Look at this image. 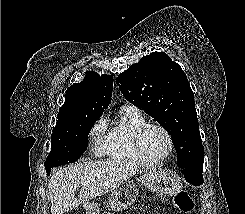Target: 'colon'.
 Listing matches in <instances>:
<instances>
[{
    "label": "colon",
    "instance_id": "colon-1",
    "mask_svg": "<svg viewBox=\"0 0 245 214\" xmlns=\"http://www.w3.org/2000/svg\"><path fill=\"white\" fill-rule=\"evenodd\" d=\"M174 206L179 212L188 214L193 210L194 202L190 195L182 190L174 196Z\"/></svg>",
    "mask_w": 245,
    "mask_h": 214
}]
</instances>
